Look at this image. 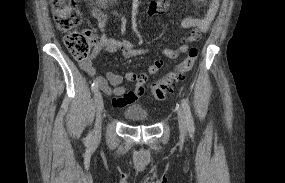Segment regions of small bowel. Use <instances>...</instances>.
Returning <instances> with one entry per match:
<instances>
[{
	"label": "small bowel",
	"mask_w": 285,
	"mask_h": 183,
	"mask_svg": "<svg viewBox=\"0 0 285 183\" xmlns=\"http://www.w3.org/2000/svg\"><path fill=\"white\" fill-rule=\"evenodd\" d=\"M91 7V15L97 21L101 31L100 42L94 47L91 56L80 63L83 71L94 78L100 89L108 96H112L111 104L114 107H123L136 102L145 94V84L149 75L157 74L163 67L164 61L156 59L148 67L146 72H126L124 75L108 71L104 75H98L93 62L102 52H120L123 57L131 59L148 51L147 47L139 46L125 38L115 39L107 35L110 26L106 10L120 19V32L123 35L126 28V20L116 9V0H94ZM197 4L204 6V13L201 17L186 16L182 19L181 25L191 32L182 39L181 44L176 48H164L163 54L169 59H175L180 54L186 53L191 44L199 41L201 33L206 32L214 20L219 7L220 0H194ZM169 6L168 0H152L147 9L149 15L163 14ZM133 86V89H129Z\"/></svg>",
	"instance_id": "obj_1"
}]
</instances>
